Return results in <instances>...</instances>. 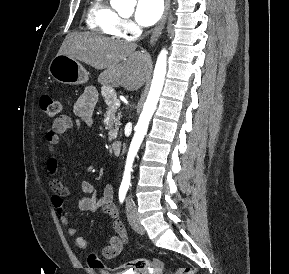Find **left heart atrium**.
Returning <instances> with one entry per match:
<instances>
[{
	"mask_svg": "<svg viewBox=\"0 0 289 274\" xmlns=\"http://www.w3.org/2000/svg\"><path fill=\"white\" fill-rule=\"evenodd\" d=\"M163 13V0H138L135 19L142 26L156 23Z\"/></svg>",
	"mask_w": 289,
	"mask_h": 274,
	"instance_id": "39dd6f15",
	"label": "left heart atrium"
}]
</instances>
